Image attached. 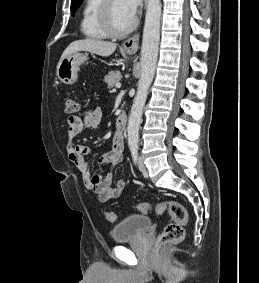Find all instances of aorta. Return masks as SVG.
I'll list each match as a JSON object with an SVG mask.
<instances>
[{
  "label": "aorta",
  "instance_id": "aorta-1",
  "mask_svg": "<svg viewBox=\"0 0 259 283\" xmlns=\"http://www.w3.org/2000/svg\"><path fill=\"white\" fill-rule=\"evenodd\" d=\"M161 1L148 0L141 48V76L128 120V144L137 146L139 127L149 87L155 76L160 40Z\"/></svg>",
  "mask_w": 259,
  "mask_h": 283
}]
</instances>
